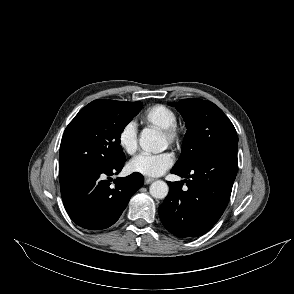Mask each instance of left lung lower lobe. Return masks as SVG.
Here are the masks:
<instances>
[{
	"label": "left lung lower lobe",
	"mask_w": 294,
	"mask_h": 294,
	"mask_svg": "<svg viewBox=\"0 0 294 294\" xmlns=\"http://www.w3.org/2000/svg\"><path fill=\"white\" fill-rule=\"evenodd\" d=\"M237 144H226L207 154L188 170L172 169L184 181L168 182L169 194L159 206L164 227L178 237L201 236L223 214L232 191L238 160Z\"/></svg>",
	"instance_id": "1"
}]
</instances>
